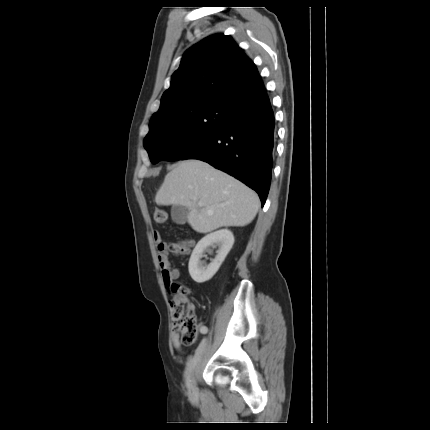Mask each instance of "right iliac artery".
Listing matches in <instances>:
<instances>
[{"instance_id": "1", "label": "right iliac artery", "mask_w": 430, "mask_h": 430, "mask_svg": "<svg viewBox=\"0 0 430 430\" xmlns=\"http://www.w3.org/2000/svg\"><path fill=\"white\" fill-rule=\"evenodd\" d=\"M201 335H206V330H201ZM190 362H191V359L188 362L187 369L185 371V377H186V380H187V385L189 384V368H190V365H191Z\"/></svg>"}]
</instances>
